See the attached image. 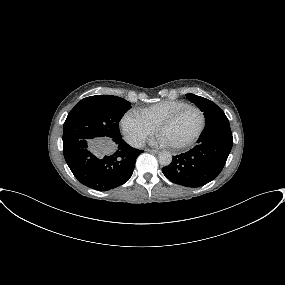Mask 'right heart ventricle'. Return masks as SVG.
Instances as JSON below:
<instances>
[{"instance_id": "e07e8e85", "label": "right heart ventricle", "mask_w": 285, "mask_h": 285, "mask_svg": "<svg viewBox=\"0 0 285 285\" xmlns=\"http://www.w3.org/2000/svg\"><path fill=\"white\" fill-rule=\"evenodd\" d=\"M182 100H165L155 103L147 108L137 111V113L150 125L157 127V125L172 114L178 108L186 105Z\"/></svg>"}]
</instances>
